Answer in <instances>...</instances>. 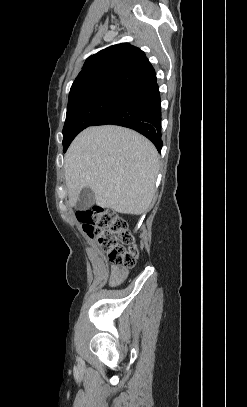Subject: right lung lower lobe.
Wrapping results in <instances>:
<instances>
[{"label": "right lung lower lobe", "mask_w": 247, "mask_h": 407, "mask_svg": "<svg viewBox=\"0 0 247 407\" xmlns=\"http://www.w3.org/2000/svg\"><path fill=\"white\" fill-rule=\"evenodd\" d=\"M160 92L156 81L136 90L118 106L101 116L93 125L114 124L133 129L162 148Z\"/></svg>", "instance_id": "right-lung-lower-lobe-1"}]
</instances>
